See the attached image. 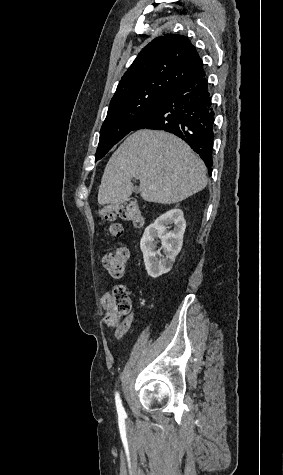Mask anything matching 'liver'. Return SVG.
Instances as JSON below:
<instances>
[{"instance_id": "6515ba94", "label": "liver", "mask_w": 283, "mask_h": 475, "mask_svg": "<svg viewBox=\"0 0 283 475\" xmlns=\"http://www.w3.org/2000/svg\"><path fill=\"white\" fill-rule=\"evenodd\" d=\"M204 162L177 136L138 130L111 156L102 176L98 204H125L140 180L145 202L176 204L207 186Z\"/></svg>"}]
</instances>
